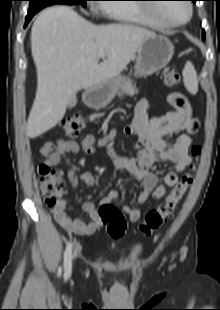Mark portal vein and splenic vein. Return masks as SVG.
Returning a JSON list of instances; mask_svg holds the SVG:
<instances>
[{
  "label": "portal vein and splenic vein",
  "mask_w": 220,
  "mask_h": 310,
  "mask_svg": "<svg viewBox=\"0 0 220 310\" xmlns=\"http://www.w3.org/2000/svg\"><path fill=\"white\" fill-rule=\"evenodd\" d=\"M98 56H99V57H104L105 54H104V52H100V53L98 54Z\"/></svg>",
  "instance_id": "1"
}]
</instances>
